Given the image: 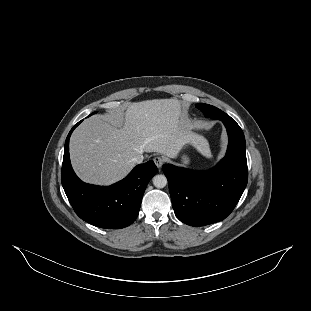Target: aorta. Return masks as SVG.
I'll use <instances>...</instances> for the list:
<instances>
[{
  "instance_id": "obj_1",
  "label": "aorta",
  "mask_w": 311,
  "mask_h": 311,
  "mask_svg": "<svg viewBox=\"0 0 311 311\" xmlns=\"http://www.w3.org/2000/svg\"><path fill=\"white\" fill-rule=\"evenodd\" d=\"M168 184V180L165 175H155L153 177V185L156 188H164Z\"/></svg>"
}]
</instances>
